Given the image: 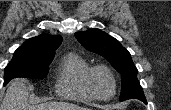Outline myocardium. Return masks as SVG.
<instances>
[{
    "mask_svg": "<svg viewBox=\"0 0 171 110\" xmlns=\"http://www.w3.org/2000/svg\"><path fill=\"white\" fill-rule=\"evenodd\" d=\"M97 71H103V72L107 73L109 75V77L111 78V80H112V83H113V92L108 97L99 96L95 92V90L93 88V85H92V77H93L94 73H96ZM85 86H86L88 92L90 93V95L95 100H99V101H108V100H111L112 98H114V96L117 93V80H116V77H115L113 71L109 67H107L105 65H96V66H92V67H90L88 69V71L85 74Z\"/></svg>",
    "mask_w": 171,
    "mask_h": 110,
    "instance_id": "myocardium-1",
    "label": "myocardium"
}]
</instances>
